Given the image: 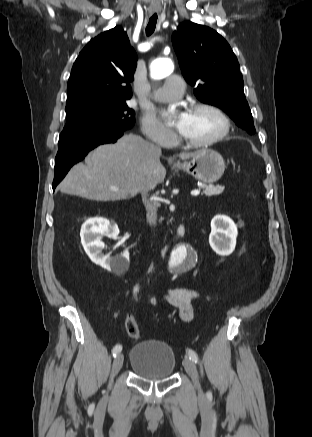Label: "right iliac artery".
<instances>
[{"instance_id":"obj_1","label":"right iliac artery","mask_w":312,"mask_h":437,"mask_svg":"<svg viewBox=\"0 0 312 437\" xmlns=\"http://www.w3.org/2000/svg\"><path fill=\"white\" fill-rule=\"evenodd\" d=\"M137 291H138V287H135V288H134V293H136ZM121 350H122V346H121L120 344H117V345L113 348V350H112L113 357H116V355H117L118 353H120Z\"/></svg>"}]
</instances>
